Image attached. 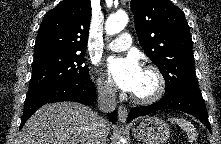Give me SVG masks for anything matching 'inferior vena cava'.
<instances>
[{"instance_id":"602c4592","label":"inferior vena cava","mask_w":221,"mask_h":144,"mask_svg":"<svg viewBox=\"0 0 221 144\" xmlns=\"http://www.w3.org/2000/svg\"><path fill=\"white\" fill-rule=\"evenodd\" d=\"M98 108L104 113H109L116 108V88L111 83H105L98 86ZM106 119L97 116L93 128L92 144H106V132L104 125Z\"/></svg>"}]
</instances>
